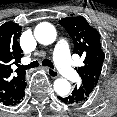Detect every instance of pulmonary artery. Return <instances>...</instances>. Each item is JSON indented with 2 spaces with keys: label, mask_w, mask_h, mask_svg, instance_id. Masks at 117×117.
Here are the masks:
<instances>
[{
  "label": "pulmonary artery",
  "mask_w": 117,
  "mask_h": 117,
  "mask_svg": "<svg viewBox=\"0 0 117 117\" xmlns=\"http://www.w3.org/2000/svg\"><path fill=\"white\" fill-rule=\"evenodd\" d=\"M54 60L57 68L64 77L69 80H75L78 76L72 66L69 56V45L65 40H58L54 50Z\"/></svg>",
  "instance_id": "obj_1"
}]
</instances>
